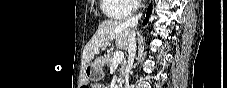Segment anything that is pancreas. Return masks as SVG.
I'll use <instances>...</instances> for the list:
<instances>
[{
  "label": "pancreas",
  "mask_w": 227,
  "mask_h": 88,
  "mask_svg": "<svg viewBox=\"0 0 227 88\" xmlns=\"http://www.w3.org/2000/svg\"><path fill=\"white\" fill-rule=\"evenodd\" d=\"M105 61H106V65H107V66H111V65H112V61H113L112 55H111V54H108V55L105 57ZM119 64H120L119 72H120V76H121V78H122L123 75H124L125 63L120 62Z\"/></svg>",
  "instance_id": "cf45deb5"
}]
</instances>
